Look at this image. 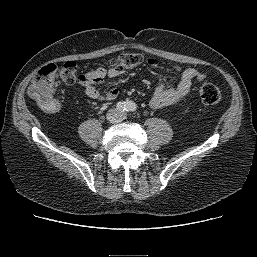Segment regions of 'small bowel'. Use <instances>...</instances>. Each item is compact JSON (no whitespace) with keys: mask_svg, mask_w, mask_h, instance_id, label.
Listing matches in <instances>:
<instances>
[{"mask_svg":"<svg viewBox=\"0 0 257 257\" xmlns=\"http://www.w3.org/2000/svg\"><path fill=\"white\" fill-rule=\"evenodd\" d=\"M147 63L150 66L156 65V61L152 58L148 59ZM197 73V70L189 68L183 72L179 82L175 83L171 79H166L161 82L150 98V107L160 109L172 105L185 97L191 91L193 82L198 80ZM120 74L121 72L114 67H110L108 70L98 68L86 75H82L83 80L80 84L89 98L103 102H111L116 99L118 91L115 88H111L105 94H102L96 86L102 83L106 75L115 78Z\"/></svg>","mask_w":257,"mask_h":257,"instance_id":"1","label":"small bowel"}]
</instances>
